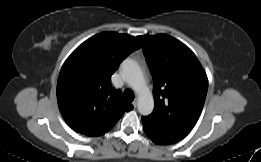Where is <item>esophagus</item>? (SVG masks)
<instances>
[{
  "label": "esophagus",
  "instance_id": "obj_1",
  "mask_svg": "<svg viewBox=\"0 0 261 162\" xmlns=\"http://www.w3.org/2000/svg\"><path fill=\"white\" fill-rule=\"evenodd\" d=\"M132 105H133L134 108H136V107H137V100H134V101L132 102Z\"/></svg>",
  "mask_w": 261,
  "mask_h": 162
}]
</instances>
